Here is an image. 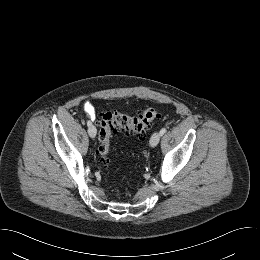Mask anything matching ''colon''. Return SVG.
I'll use <instances>...</instances> for the list:
<instances>
[{
  "instance_id": "colon-1",
  "label": "colon",
  "mask_w": 260,
  "mask_h": 260,
  "mask_svg": "<svg viewBox=\"0 0 260 260\" xmlns=\"http://www.w3.org/2000/svg\"><path fill=\"white\" fill-rule=\"evenodd\" d=\"M157 111L154 108H147L138 115L129 116L117 111L102 113L99 130L98 157L103 165L110 163V140L112 135L122 132L127 136H142L152 121L156 118Z\"/></svg>"
}]
</instances>
